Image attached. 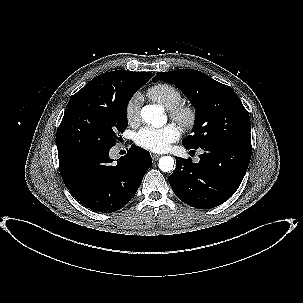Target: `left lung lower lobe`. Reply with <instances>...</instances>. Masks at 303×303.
<instances>
[{"mask_svg":"<svg viewBox=\"0 0 303 303\" xmlns=\"http://www.w3.org/2000/svg\"><path fill=\"white\" fill-rule=\"evenodd\" d=\"M199 148L204 150L200 161L177 157L176 169L168 180L180 200L210 209L228 200L240 186L251 159V141H212Z\"/></svg>","mask_w":303,"mask_h":303,"instance_id":"obj_1","label":"left lung lower lobe"}]
</instances>
